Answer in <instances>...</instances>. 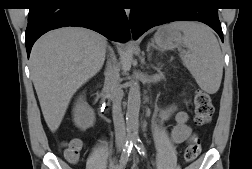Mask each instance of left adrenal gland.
<instances>
[{"label":"left adrenal gland","mask_w":252,"mask_h":169,"mask_svg":"<svg viewBox=\"0 0 252 169\" xmlns=\"http://www.w3.org/2000/svg\"><path fill=\"white\" fill-rule=\"evenodd\" d=\"M151 47H153V48H155V49H158L157 46L154 44V41H153V40L148 44L147 52L150 51V48H151ZM150 58H151V54L149 53V54H148V59L150 60Z\"/></svg>","instance_id":"1"}]
</instances>
